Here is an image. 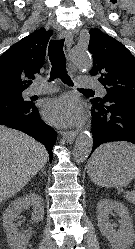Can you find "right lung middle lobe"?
<instances>
[{
    "label": "right lung middle lobe",
    "mask_w": 135,
    "mask_h": 249,
    "mask_svg": "<svg viewBox=\"0 0 135 249\" xmlns=\"http://www.w3.org/2000/svg\"><path fill=\"white\" fill-rule=\"evenodd\" d=\"M22 92H1L0 96H7V97H11L14 98L16 100H20L24 102V99L21 95Z\"/></svg>",
    "instance_id": "obj_1"
}]
</instances>
